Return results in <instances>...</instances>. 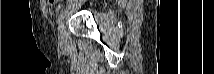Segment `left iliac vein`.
Masks as SVG:
<instances>
[{"mask_svg":"<svg viewBox=\"0 0 214 74\" xmlns=\"http://www.w3.org/2000/svg\"><path fill=\"white\" fill-rule=\"evenodd\" d=\"M58 41L61 45L65 43V25L63 21L58 25Z\"/></svg>","mask_w":214,"mask_h":74,"instance_id":"4c4485c4","label":"left iliac vein"}]
</instances>
